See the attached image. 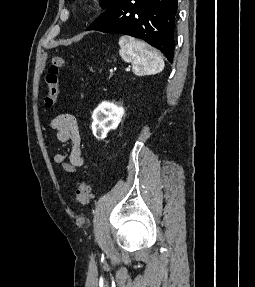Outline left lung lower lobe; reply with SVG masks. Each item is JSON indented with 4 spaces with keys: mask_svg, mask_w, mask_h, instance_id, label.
<instances>
[{
    "mask_svg": "<svg viewBox=\"0 0 255 287\" xmlns=\"http://www.w3.org/2000/svg\"><path fill=\"white\" fill-rule=\"evenodd\" d=\"M178 0H114L86 31L140 38L173 62Z\"/></svg>",
    "mask_w": 255,
    "mask_h": 287,
    "instance_id": "1",
    "label": "left lung lower lobe"
}]
</instances>
